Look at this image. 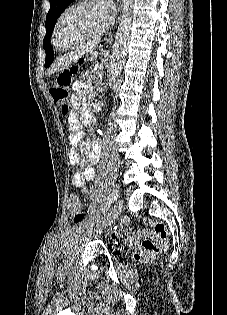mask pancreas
<instances>
[{
    "label": "pancreas",
    "mask_w": 227,
    "mask_h": 315,
    "mask_svg": "<svg viewBox=\"0 0 227 315\" xmlns=\"http://www.w3.org/2000/svg\"><path fill=\"white\" fill-rule=\"evenodd\" d=\"M101 70H95L94 67H90L89 70H87L83 75L82 78L86 80L87 82H92L96 79V75H100Z\"/></svg>",
    "instance_id": "cf45deb5"
}]
</instances>
